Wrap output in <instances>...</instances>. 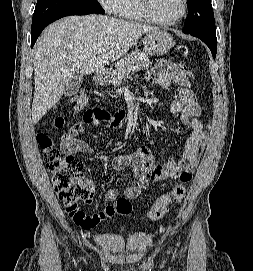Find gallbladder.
Wrapping results in <instances>:
<instances>
[{
    "mask_svg": "<svg viewBox=\"0 0 253 271\" xmlns=\"http://www.w3.org/2000/svg\"><path fill=\"white\" fill-rule=\"evenodd\" d=\"M83 82V75L80 73H75L73 77L69 80L64 88V95L70 97L76 94Z\"/></svg>",
    "mask_w": 253,
    "mask_h": 271,
    "instance_id": "1",
    "label": "gallbladder"
}]
</instances>
